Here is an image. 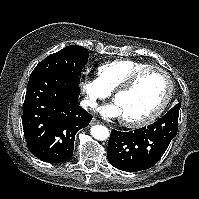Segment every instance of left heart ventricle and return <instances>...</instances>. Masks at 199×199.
I'll list each match as a JSON object with an SVG mask.
<instances>
[{"label":"left heart ventricle","instance_id":"left-heart-ventricle-1","mask_svg":"<svg viewBox=\"0 0 199 199\" xmlns=\"http://www.w3.org/2000/svg\"><path fill=\"white\" fill-rule=\"evenodd\" d=\"M167 91L166 77L152 71L144 74L130 91L119 95L115 103L122 118L138 120L154 112L165 98Z\"/></svg>","mask_w":199,"mask_h":199}]
</instances>
